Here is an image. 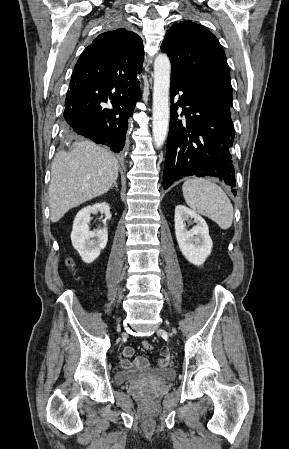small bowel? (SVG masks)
I'll list each match as a JSON object with an SVG mask.
<instances>
[{
  "instance_id": "1",
  "label": "small bowel",
  "mask_w": 289,
  "mask_h": 449,
  "mask_svg": "<svg viewBox=\"0 0 289 449\" xmlns=\"http://www.w3.org/2000/svg\"><path fill=\"white\" fill-rule=\"evenodd\" d=\"M134 354V349L130 346H126L123 349V356L124 358L121 359L120 365L124 369H131V368H137V369H146L150 367V362L147 358L139 356L135 359L131 360L130 358ZM171 352L167 346H162L160 348V356L157 361V365L159 367H162L164 369L169 368L170 366V359H171Z\"/></svg>"
}]
</instances>
